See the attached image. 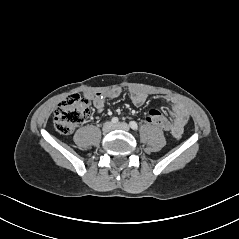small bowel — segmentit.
Here are the masks:
<instances>
[{
    "instance_id": "small-bowel-1",
    "label": "small bowel",
    "mask_w": 239,
    "mask_h": 239,
    "mask_svg": "<svg viewBox=\"0 0 239 239\" xmlns=\"http://www.w3.org/2000/svg\"><path fill=\"white\" fill-rule=\"evenodd\" d=\"M119 95L118 90L88 93L87 97L93 101L94 107L97 112H102L105 107L107 99L115 98ZM147 99V94L139 89H133L131 91V100L136 106L144 104ZM163 99L171 105L172 122L168 129L164 130L171 134L175 139H179L182 136L184 127L186 126L189 115L182 103L172 97L164 96Z\"/></svg>"
}]
</instances>
